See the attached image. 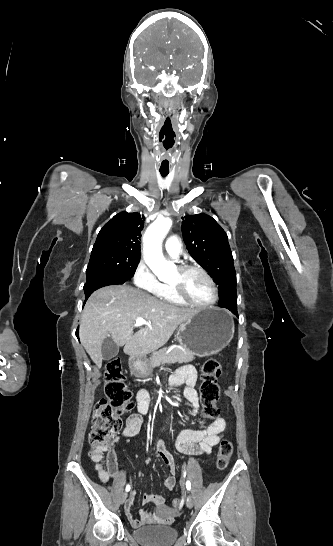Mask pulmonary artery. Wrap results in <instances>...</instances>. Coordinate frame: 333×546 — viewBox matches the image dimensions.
<instances>
[{"mask_svg":"<svg viewBox=\"0 0 333 546\" xmlns=\"http://www.w3.org/2000/svg\"><path fill=\"white\" fill-rule=\"evenodd\" d=\"M165 250L172 258H178L181 253V242L178 236H170L165 242Z\"/></svg>","mask_w":333,"mask_h":546,"instance_id":"pulmonary-artery-1","label":"pulmonary artery"}]
</instances>
